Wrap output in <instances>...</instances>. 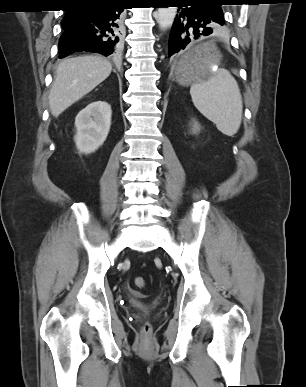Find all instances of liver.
Listing matches in <instances>:
<instances>
[{
  "label": "liver",
  "instance_id": "6515ba94",
  "mask_svg": "<svg viewBox=\"0 0 306 387\" xmlns=\"http://www.w3.org/2000/svg\"><path fill=\"white\" fill-rule=\"evenodd\" d=\"M111 71V63L101 56L83 55L62 60L49 94L52 115L59 116L107 79Z\"/></svg>",
  "mask_w": 306,
  "mask_h": 387
}]
</instances>
